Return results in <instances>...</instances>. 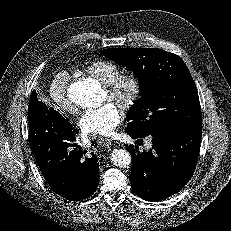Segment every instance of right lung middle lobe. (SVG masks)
I'll return each mask as SVG.
<instances>
[{"label": "right lung middle lobe", "mask_w": 231, "mask_h": 231, "mask_svg": "<svg viewBox=\"0 0 231 231\" xmlns=\"http://www.w3.org/2000/svg\"><path fill=\"white\" fill-rule=\"evenodd\" d=\"M31 112H32V111H31V107H29V108H28V118H29V116L31 115Z\"/></svg>", "instance_id": "right-lung-middle-lobe-1"}]
</instances>
